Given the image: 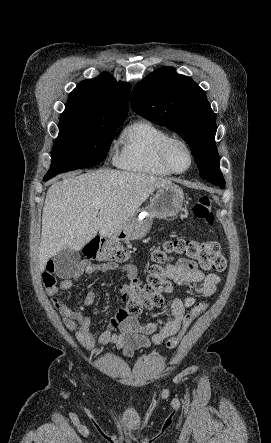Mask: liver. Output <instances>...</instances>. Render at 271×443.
Wrapping results in <instances>:
<instances>
[{
  "mask_svg": "<svg viewBox=\"0 0 271 443\" xmlns=\"http://www.w3.org/2000/svg\"><path fill=\"white\" fill-rule=\"evenodd\" d=\"M62 182L50 186L43 208L39 247V269L63 249L80 251L97 233L109 237L122 231L128 218L146 202L156 188L170 180L117 170H96L88 174H63ZM95 202H103L100 212Z\"/></svg>",
  "mask_w": 271,
  "mask_h": 443,
  "instance_id": "liver-1",
  "label": "liver"
}]
</instances>
